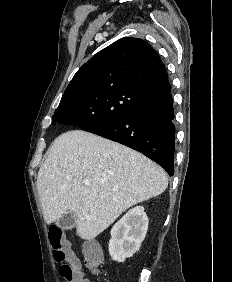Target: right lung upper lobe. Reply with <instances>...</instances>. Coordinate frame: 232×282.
Wrapping results in <instances>:
<instances>
[{
    "label": "right lung upper lobe",
    "mask_w": 232,
    "mask_h": 282,
    "mask_svg": "<svg viewBox=\"0 0 232 282\" xmlns=\"http://www.w3.org/2000/svg\"><path fill=\"white\" fill-rule=\"evenodd\" d=\"M129 89L148 99L170 89L165 65L157 52L139 38H122L81 66L61 101L92 92Z\"/></svg>",
    "instance_id": "1"
}]
</instances>
